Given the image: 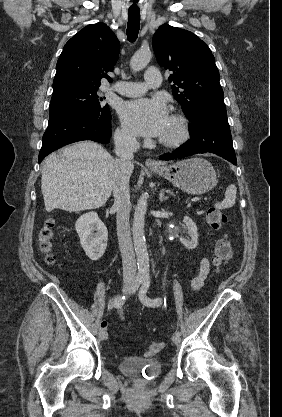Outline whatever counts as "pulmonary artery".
I'll return each mask as SVG.
<instances>
[{"label": "pulmonary artery", "mask_w": 282, "mask_h": 417, "mask_svg": "<svg viewBox=\"0 0 282 417\" xmlns=\"http://www.w3.org/2000/svg\"><path fill=\"white\" fill-rule=\"evenodd\" d=\"M161 81L160 71L156 69L146 70L144 73V81L141 82H123L117 83L112 90L124 96H139L143 94L148 87H155Z\"/></svg>", "instance_id": "e3ab8cb5"}]
</instances>
